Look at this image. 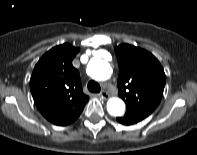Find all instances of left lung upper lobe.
I'll return each mask as SVG.
<instances>
[{"mask_svg": "<svg viewBox=\"0 0 197 155\" xmlns=\"http://www.w3.org/2000/svg\"><path fill=\"white\" fill-rule=\"evenodd\" d=\"M119 64L118 95L128 116L137 122L149 116L163 96L166 76L160 62L148 51L121 44L115 47Z\"/></svg>", "mask_w": 197, "mask_h": 155, "instance_id": "1", "label": "left lung upper lobe"}]
</instances>
